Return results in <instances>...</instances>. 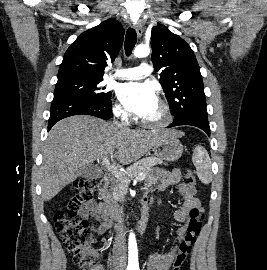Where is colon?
<instances>
[{"mask_svg":"<svg viewBox=\"0 0 267 270\" xmlns=\"http://www.w3.org/2000/svg\"><path fill=\"white\" fill-rule=\"evenodd\" d=\"M184 183L196 187V178L192 171H187ZM96 183L93 179H81L73 184L67 196L66 211L59 210L54 215V226L59 234L62 244L73 261L82 270H86L93 262L96 252L93 248V234L88 229V223L78 217L77 210L81 204L89 201L95 192ZM203 213H192L187 232L181 241L174 257L173 270H181L187 259L196 237L201 231Z\"/></svg>","mask_w":267,"mask_h":270,"instance_id":"1","label":"colon"}]
</instances>
